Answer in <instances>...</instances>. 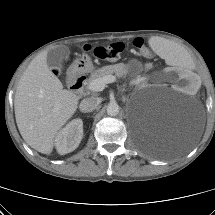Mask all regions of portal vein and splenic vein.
I'll use <instances>...</instances> for the list:
<instances>
[{"mask_svg":"<svg viewBox=\"0 0 215 215\" xmlns=\"http://www.w3.org/2000/svg\"><path fill=\"white\" fill-rule=\"evenodd\" d=\"M115 81L116 77L114 75H107L103 78L91 81L88 85V89L95 92L102 91L105 88L106 84L113 83Z\"/></svg>","mask_w":215,"mask_h":215,"instance_id":"18ae733b","label":"portal vein and splenic vein"}]
</instances>
